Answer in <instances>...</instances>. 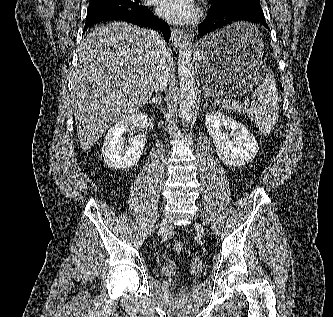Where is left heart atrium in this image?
I'll use <instances>...</instances> for the list:
<instances>
[{
    "instance_id": "left-heart-atrium-1",
    "label": "left heart atrium",
    "mask_w": 333,
    "mask_h": 317,
    "mask_svg": "<svg viewBox=\"0 0 333 317\" xmlns=\"http://www.w3.org/2000/svg\"><path fill=\"white\" fill-rule=\"evenodd\" d=\"M157 12L173 22H186L195 14L192 0H158Z\"/></svg>"
}]
</instances>
